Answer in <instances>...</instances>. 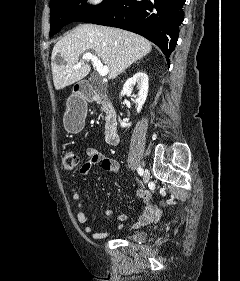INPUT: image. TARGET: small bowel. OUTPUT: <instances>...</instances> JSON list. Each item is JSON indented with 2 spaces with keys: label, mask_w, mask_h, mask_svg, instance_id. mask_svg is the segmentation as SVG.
Returning <instances> with one entry per match:
<instances>
[{
  "label": "small bowel",
  "mask_w": 240,
  "mask_h": 281,
  "mask_svg": "<svg viewBox=\"0 0 240 281\" xmlns=\"http://www.w3.org/2000/svg\"><path fill=\"white\" fill-rule=\"evenodd\" d=\"M88 160L80 167V173L87 175L93 166L101 165V168L110 173H118L120 170L119 163L111 158L105 157L99 150L95 148H87L85 151ZM72 198L76 205V219L79 224H85L87 222V215L84 211V205L81 199L79 190L75 187H71ZM136 195L142 198L145 202L143 211L138 217L137 221L131 226V230L138 229L142 226L149 224L156 215V210L150 203L151 194L147 190H138ZM108 217L116 218L117 220L124 222L127 216L124 214H117L114 210L108 209L106 211ZM121 227V226H120ZM84 231L88 234H92L94 239H102L109 235L108 232H96L92 226H85Z\"/></svg>",
  "instance_id": "small-bowel-1"
}]
</instances>
